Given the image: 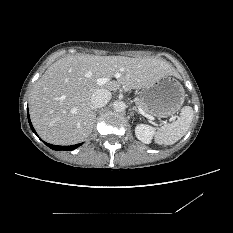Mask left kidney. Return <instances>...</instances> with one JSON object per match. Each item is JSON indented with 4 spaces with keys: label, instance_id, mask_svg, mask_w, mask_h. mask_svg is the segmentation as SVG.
<instances>
[{
    "label": "left kidney",
    "instance_id": "1",
    "mask_svg": "<svg viewBox=\"0 0 233 233\" xmlns=\"http://www.w3.org/2000/svg\"><path fill=\"white\" fill-rule=\"evenodd\" d=\"M154 133L155 128L150 125L138 124L135 128L136 137L145 144L151 143Z\"/></svg>",
    "mask_w": 233,
    "mask_h": 233
}]
</instances>
